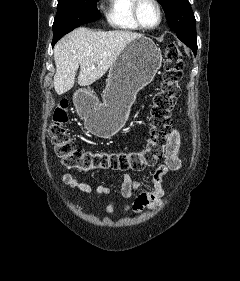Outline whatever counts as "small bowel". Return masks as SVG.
<instances>
[{"label": "small bowel", "instance_id": "1", "mask_svg": "<svg viewBox=\"0 0 240 281\" xmlns=\"http://www.w3.org/2000/svg\"><path fill=\"white\" fill-rule=\"evenodd\" d=\"M180 155L181 136L177 129H173L169 135L165 162L158 166L152 175V190L143 191L136 195L140 188V182L132 179L128 174H123L120 188L121 195L127 199L134 197V201L126 205L120 212L116 211L110 188L103 185L93 188L88 183L79 181L68 173L61 174V181L68 187L83 193L89 199L93 197H108V202L105 206V213L108 215L123 216L131 211L134 213H141L144 210L155 208L162 201L165 194L162 186L163 178L170 172L178 171L182 168ZM97 213H99V210H97Z\"/></svg>", "mask_w": 240, "mask_h": 281}]
</instances>
